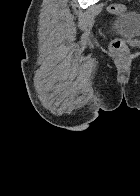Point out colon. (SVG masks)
<instances>
[{
	"label": "colon",
	"mask_w": 140,
	"mask_h": 196,
	"mask_svg": "<svg viewBox=\"0 0 140 196\" xmlns=\"http://www.w3.org/2000/svg\"><path fill=\"white\" fill-rule=\"evenodd\" d=\"M126 6L121 3H113L108 6V11L112 14H120L126 11ZM111 51L113 55L119 60H124L128 56V47L126 42L120 38L115 37L111 41Z\"/></svg>",
	"instance_id": "5ec220e1"
}]
</instances>
